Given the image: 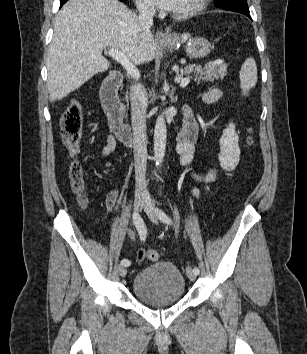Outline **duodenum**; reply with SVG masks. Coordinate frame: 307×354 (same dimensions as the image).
Instances as JSON below:
<instances>
[{"mask_svg":"<svg viewBox=\"0 0 307 354\" xmlns=\"http://www.w3.org/2000/svg\"><path fill=\"white\" fill-rule=\"evenodd\" d=\"M122 82V73L112 71L102 84L100 96L111 132L119 142L128 146L132 143L131 128L124 122V109L118 96Z\"/></svg>","mask_w":307,"mask_h":354,"instance_id":"1","label":"duodenum"}]
</instances>
